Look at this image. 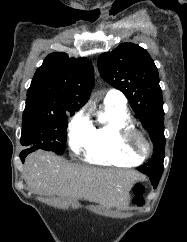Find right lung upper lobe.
I'll use <instances>...</instances> for the list:
<instances>
[{"instance_id":"cb5924a9","label":"right lung upper lobe","mask_w":187,"mask_h":242,"mask_svg":"<svg viewBox=\"0 0 187 242\" xmlns=\"http://www.w3.org/2000/svg\"><path fill=\"white\" fill-rule=\"evenodd\" d=\"M93 83V67L87 58L51 53L32 79L24 111L75 112L88 101Z\"/></svg>"}]
</instances>
